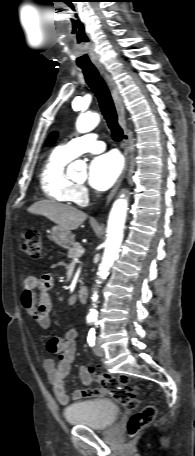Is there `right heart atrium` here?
<instances>
[{
	"mask_svg": "<svg viewBox=\"0 0 195 456\" xmlns=\"http://www.w3.org/2000/svg\"><path fill=\"white\" fill-rule=\"evenodd\" d=\"M74 200L78 204H84L88 200V191L83 185H75Z\"/></svg>",
	"mask_w": 195,
	"mask_h": 456,
	"instance_id": "obj_1",
	"label": "right heart atrium"
}]
</instances>
